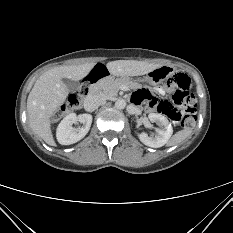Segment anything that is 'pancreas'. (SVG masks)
Wrapping results in <instances>:
<instances>
[{
  "mask_svg": "<svg viewBox=\"0 0 233 233\" xmlns=\"http://www.w3.org/2000/svg\"><path fill=\"white\" fill-rule=\"evenodd\" d=\"M100 92L107 98H113L117 95L119 88L123 85L121 80L103 79L99 82Z\"/></svg>",
  "mask_w": 233,
  "mask_h": 233,
  "instance_id": "1",
  "label": "pancreas"
}]
</instances>
